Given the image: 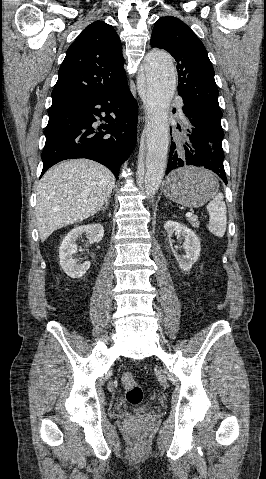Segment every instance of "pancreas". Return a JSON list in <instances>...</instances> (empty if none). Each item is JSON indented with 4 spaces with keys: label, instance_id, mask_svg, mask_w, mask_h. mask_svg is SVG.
Here are the masks:
<instances>
[{
    "label": "pancreas",
    "instance_id": "1",
    "mask_svg": "<svg viewBox=\"0 0 266 479\" xmlns=\"http://www.w3.org/2000/svg\"><path fill=\"white\" fill-rule=\"evenodd\" d=\"M188 221L195 228H198L199 225H200V222L198 221V219L196 217H191V218L188 219Z\"/></svg>",
    "mask_w": 266,
    "mask_h": 479
}]
</instances>
